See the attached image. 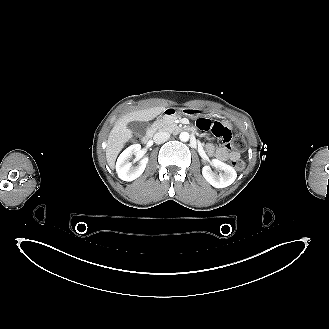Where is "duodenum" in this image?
<instances>
[{"mask_svg": "<svg viewBox=\"0 0 329 329\" xmlns=\"http://www.w3.org/2000/svg\"><path fill=\"white\" fill-rule=\"evenodd\" d=\"M176 114V110L173 108H168L164 111V116L169 117V116H174ZM152 138V133L151 132H147L143 138H142V142L144 144H148L151 141Z\"/></svg>", "mask_w": 329, "mask_h": 329, "instance_id": "duodenum-1", "label": "duodenum"}]
</instances>
